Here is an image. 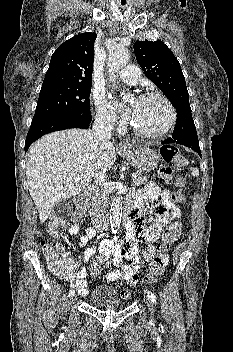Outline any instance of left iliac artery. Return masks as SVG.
<instances>
[{
    "instance_id": "44dca946",
    "label": "left iliac artery",
    "mask_w": 233,
    "mask_h": 352,
    "mask_svg": "<svg viewBox=\"0 0 233 352\" xmlns=\"http://www.w3.org/2000/svg\"><path fill=\"white\" fill-rule=\"evenodd\" d=\"M147 295L153 303H156V296L154 295V293H152L151 291H147Z\"/></svg>"
}]
</instances>
